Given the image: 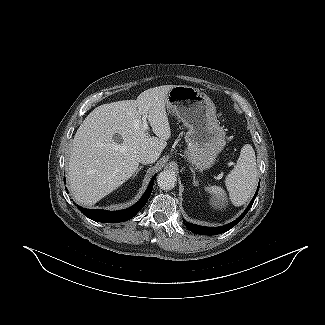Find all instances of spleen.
<instances>
[{
    "label": "spleen",
    "mask_w": 325,
    "mask_h": 325,
    "mask_svg": "<svg viewBox=\"0 0 325 325\" xmlns=\"http://www.w3.org/2000/svg\"><path fill=\"white\" fill-rule=\"evenodd\" d=\"M257 184L255 152L251 145L245 144L234 169L227 175L225 185L234 206H241L251 197ZM205 190L217 200L225 199V192L219 186H208Z\"/></svg>",
    "instance_id": "spleen-1"
}]
</instances>
